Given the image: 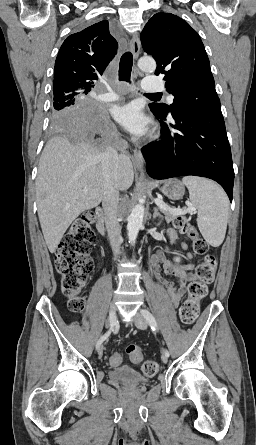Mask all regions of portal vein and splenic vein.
<instances>
[{
	"label": "portal vein and splenic vein",
	"mask_w": 256,
	"mask_h": 445,
	"mask_svg": "<svg viewBox=\"0 0 256 445\" xmlns=\"http://www.w3.org/2000/svg\"><path fill=\"white\" fill-rule=\"evenodd\" d=\"M84 193L87 192V189L83 190ZM155 203L158 205V207H160L162 210H167L169 212H171L172 214L175 215H181V214H185V213H192L195 211V208L193 206H191L190 204H187V208L182 210L180 208H170L167 204H165L162 200L160 199H155Z\"/></svg>",
	"instance_id": "obj_1"
}]
</instances>
